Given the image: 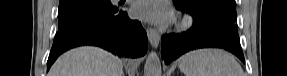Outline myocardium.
<instances>
[{
    "instance_id": "obj_1",
    "label": "myocardium",
    "mask_w": 287,
    "mask_h": 76,
    "mask_svg": "<svg viewBox=\"0 0 287 76\" xmlns=\"http://www.w3.org/2000/svg\"><path fill=\"white\" fill-rule=\"evenodd\" d=\"M193 18L189 15H186L180 22L179 28L181 30H187L193 25Z\"/></svg>"
}]
</instances>
